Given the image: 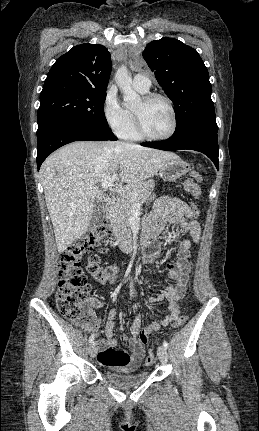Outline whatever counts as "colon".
<instances>
[{
    "label": "colon",
    "mask_w": 259,
    "mask_h": 431,
    "mask_svg": "<svg viewBox=\"0 0 259 431\" xmlns=\"http://www.w3.org/2000/svg\"><path fill=\"white\" fill-rule=\"evenodd\" d=\"M201 174L197 171L190 172V178L185 182V190L195 197L200 196ZM189 213L193 218H198L201 211L200 206L195 201L189 202ZM113 243L112 230L108 225L99 226L85 233L80 239L72 243L59 257V282L56 292V304L59 312L74 324L93 326L95 319L91 316L88 302L91 285L84 273L80 259L82 255L92 251L95 246L105 244L110 246ZM106 252L102 248L98 253L92 254L86 266L87 273L97 283L104 284L112 281L117 272V267H106L101 264V256ZM146 255L150 259H158L161 254L150 249L146 250ZM186 315H178L172 327L181 328L187 322ZM148 334L143 333L141 340L148 341ZM154 350L150 349L145 358V364L154 362Z\"/></svg>",
    "instance_id": "1"
}]
</instances>
